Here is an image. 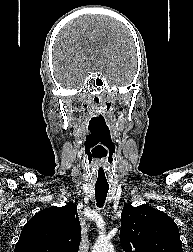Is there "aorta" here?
<instances>
[{
    "label": "aorta",
    "mask_w": 193,
    "mask_h": 252,
    "mask_svg": "<svg viewBox=\"0 0 193 252\" xmlns=\"http://www.w3.org/2000/svg\"><path fill=\"white\" fill-rule=\"evenodd\" d=\"M91 252H114V246L108 241L98 240Z\"/></svg>",
    "instance_id": "aorta-1"
}]
</instances>
